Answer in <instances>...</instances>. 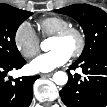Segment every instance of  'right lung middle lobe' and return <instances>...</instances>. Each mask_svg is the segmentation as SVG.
I'll return each mask as SVG.
<instances>
[{
	"label": "right lung middle lobe",
	"mask_w": 107,
	"mask_h": 107,
	"mask_svg": "<svg viewBox=\"0 0 107 107\" xmlns=\"http://www.w3.org/2000/svg\"><path fill=\"white\" fill-rule=\"evenodd\" d=\"M33 13L0 4V60L13 62L22 58L15 44V34L20 24Z\"/></svg>",
	"instance_id": "right-lung-middle-lobe-1"
}]
</instances>
